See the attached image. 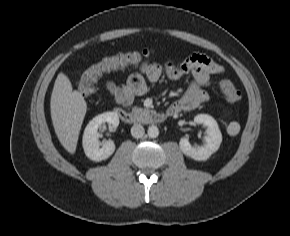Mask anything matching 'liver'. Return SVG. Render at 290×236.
<instances>
[{"label":"liver","mask_w":290,"mask_h":236,"mask_svg":"<svg viewBox=\"0 0 290 236\" xmlns=\"http://www.w3.org/2000/svg\"><path fill=\"white\" fill-rule=\"evenodd\" d=\"M50 111L53 127L61 145L74 154L87 104L80 92L73 91L69 78L62 72L58 74L54 83Z\"/></svg>","instance_id":"6515ba94"}]
</instances>
